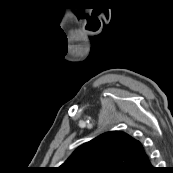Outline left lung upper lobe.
I'll return each mask as SVG.
<instances>
[{
    "instance_id": "1",
    "label": "left lung upper lobe",
    "mask_w": 173,
    "mask_h": 173,
    "mask_svg": "<svg viewBox=\"0 0 173 173\" xmlns=\"http://www.w3.org/2000/svg\"><path fill=\"white\" fill-rule=\"evenodd\" d=\"M150 162L143 145L121 131L104 133L81 145L60 173H140Z\"/></svg>"
}]
</instances>
